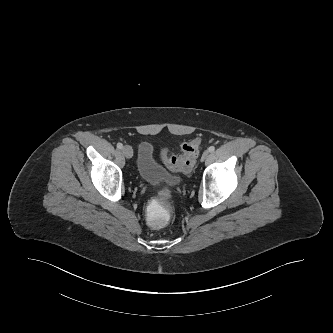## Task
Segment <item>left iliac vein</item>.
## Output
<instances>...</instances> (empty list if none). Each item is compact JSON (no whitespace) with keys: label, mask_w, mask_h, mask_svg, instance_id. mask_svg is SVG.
Returning a JSON list of instances; mask_svg holds the SVG:
<instances>
[{"label":"left iliac vein","mask_w":333,"mask_h":333,"mask_svg":"<svg viewBox=\"0 0 333 333\" xmlns=\"http://www.w3.org/2000/svg\"><path fill=\"white\" fill-rule=\"evenodd\" d=\"M209 156H210L209 152H208V151H205V152L202 154L201 161H205Z\"/></svg>","instance_id":"obj_1"}]
</instances>
